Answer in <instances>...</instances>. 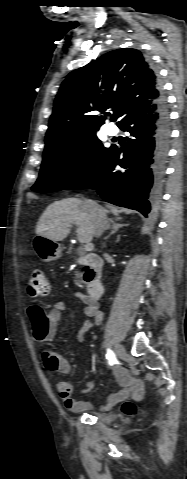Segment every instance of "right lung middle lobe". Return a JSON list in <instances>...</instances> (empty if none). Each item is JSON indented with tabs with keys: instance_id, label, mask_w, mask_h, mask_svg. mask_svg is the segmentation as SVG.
Returning <instances> with one entry per match:
<instances>
[{
	"instance_id": "right-lung-middle-lobe-1",
	"label": "right lung middle lobe",
	"mask_w": 187,
	"mask_h": 479,
	"mask_svg": "<svg viewBox=\"0 0 187 479\" xmlns=\"http://www.w3.org/2000/svg\"><path fill=\"white\" fill-rule=\"evenodd\" d=\"M96 132L87 133L58 147L44 150L39 178L32 190L37 192L71 190L81 184L104 162L111 150L102 145Z\"/></svg>"
}]
</instances>
